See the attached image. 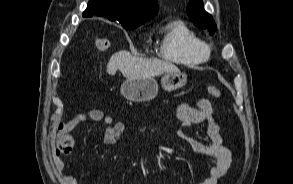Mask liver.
I'll return each instance as SVG.
<instances>
[{
	"label": "liver",
	"instance_id": "1",
	"mask_svg": "<svg viewBox=\"0 0 293 184\" xmlns=\"http://www.w3.org/2000/svg\"><path fill=\"white\" fill-rule=\"evenodd\" d=\"M117 70L126 78L153 77L167 72H179V69L168 61L136 57L124 50L114 53L107 64L108 74L115 75Z\"/></svg>",
	"mask_w": 293,
	"mask_h": 184
}]
</instances>
